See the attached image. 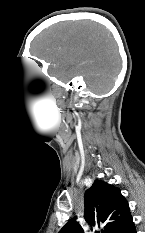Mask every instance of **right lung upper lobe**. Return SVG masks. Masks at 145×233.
Segmentation results:
<instances>
[{
    "mask_svg": "<svg viewBox=\"0 0 145 233\" xmlns=\"http://www.w3.org/2000/svg\"><path fill=\"white\" fill-rule=\"evenodd\" d=\"M84 204L86 222L93 227L102 226L101 233H117L131 218L128 202L120 189L101 180H95L86 190ZM76 219L66 223L59 233H84Z\"/></svg>",
    "mask_w": 145,
    "mask_h": 233,
    "instance_id": "obj_1",
    "label": "right lung upper lobe"
}]
</instances>
